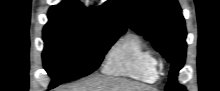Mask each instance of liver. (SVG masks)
I'll use <instances>...</instances> for the list:
<instances>
[{
  "label": "liver",
  "instance_id": "1",
  "mask_svg": "<svg viewBox=\"0 0 220 91\" xmlns=\"http://www.w3.org/2000/svg\"><path fill=\"white\" fill-rule=\"evenodd\" d=\"M57 91H152L150 87L115 77L95 76L81 84L59 88Z\"/></svg>",
  "mask_w": 220,
  "mask_h": 91
}]
</instances>
